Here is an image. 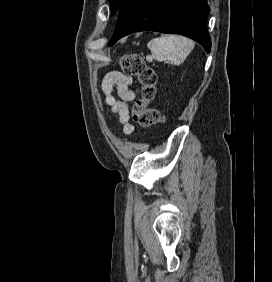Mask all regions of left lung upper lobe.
Instances as JSON below:
<instances>
[{
  "instance_id": "1",
  "label": "left lung upper lobe",
  "mask_w": 272,
  "mask_h": 282,
  "mask_svg": "<svg viewBox=\"0 0 272 282\" xmlns=\"http://www.w3.org/2000/svg\"><path fill=\"white\" fill-rule=\"evenodd\" d=\"M125 0H109L111 4V13L112 15L118 12L121 5L124 3Z\"/></svg>"
}]
</instances>
